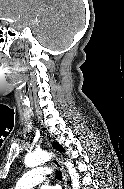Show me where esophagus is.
<instances>
[{
    "mask_svg": "<svg viewBox=\"0 0 124 189\" xmlns=\"http://www.w3.org/2000/svg\"><path fill=\"white\" fill-rule=\"evenodd\" d=\"M52 163L55 166H57L62 172V177H63V181H64V189H69L68 185H67L68 178H67V174H66V171H65L63 165L58 161V159L55 156H53V158H52Z\"/></svg>",
    "mask_w": 124,
    "mask_h": 189,
    "instance_id": "1",
    "label": "esophagus"
}]
</instances>
